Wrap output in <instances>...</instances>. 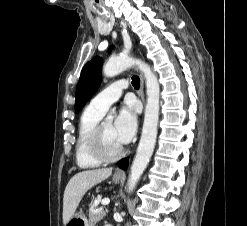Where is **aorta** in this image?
I'll return each mask as SVG.
<instances>
[{
    "label": "aorta",
    "mask_w": 247,
    "mask_h": 226,
    "mask_svg": "<svg viewBox=\"0 0 247 226\" xmlns=\"http://www.w3.org/2000/svg\"><path fill=\"white\" fill-rule=\"evenodd\" d=\"M132 66H137L144 74L146 81L147 103L145 107L142 135L127 183L129 193L133 192L135 189L136 184L146 169L154 151L159 120L160 87L158 79L152 72L149 65L139 59H134L128 56H120L109 59L103 68V73L105 76L114 77L121 73L124 69ZM108 119H112V115H109Z\"/></svg>",
    "instance_id": "1"
}]
</instances>
